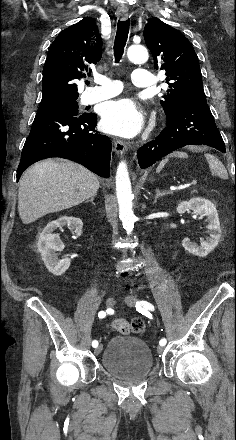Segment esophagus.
I'll use <instances>...</instances> for the list:
<instances>
[{"label": "esophagus", "mask_w": 236, "mask_h": 440, "mask_svg": "<svg viewBox=\"0 0 236 440\" xmlns=\"http://www.w3.org/2000/svg\"><path fill=\"white\" fill-rule=\"evenodd\" d=\"M128 8L126 5H120L118 9V16L122 20H126L128 18ZM114 150L118 155H124L127 151V146L124 142L120 140H116L113 142Z\"/></svg>", "instance_id": "obj_1"}]
</instances>
